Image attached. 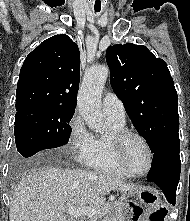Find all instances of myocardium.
I'll return each mask as SVG.
<instances>
[{
  "label": "myocardium",
  "mask_w": 190,
  "mask_h": 221,
  "mask_svg": "<svg viewBox=\"0 0 190 221\" xmlns=\"http://www.w3.org/2000/svg\"><path fill=\"white\" fill-rule=\"evenodd\" d=\"M129 137H135V138L139 139L147 149V152L149 155L148 166L142 172H136V171L132 170L131 168H129V166L125 162L124 144ZM112 146H113V152H114L117 163L129 175L137 176V177L144 176L151 170L153 162H154V152H153V149H152L150 143L148 142V140L141 133H139L135 130L124 129V130L116 133L113 136Z\"/></svg>",
  "instance_id": "f54148a6"
}]
</instances>
